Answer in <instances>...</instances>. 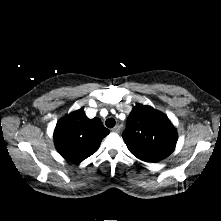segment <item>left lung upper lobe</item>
I'll list each match as a JSON object with an SVG mask.
<instances>
[{
	"mask_svg": "<svg viewBox=\"0 0 221 221\" xmlns=\"http://www.w3.org/2000/svg\"><path fill=\"white\" fill-rule=\"evenodd\" d=\"M123 139L134 156L154 163L174 151L177 133L165 114L140 104L133 108L127 119Z\"/></svg>",
	"mask_w": 221,
	"mask_h": 221,
	"instance_id": "5c2ea615",
	"label": "left lung upper lobe"
}]
</instances>
